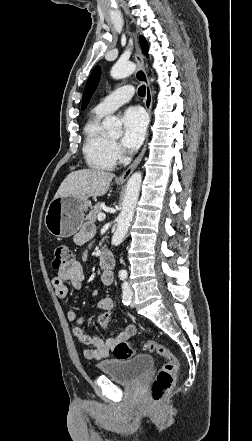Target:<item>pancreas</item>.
I'll return each instance as SVG.
<instances>
[{
	"instance_id": "pancreas-1",
	"label": "pancreas",
	"mask_w": 252,
	"mask_h": 441,
	"mask_svg": "<svg viewBox=\"0 0 252 441\" xmlns=\"http://www.w3.org/2000/svg\"><path fill=\"white\" fill-rule=\"evenodd\" d=\"M102 213V206L100 203H97L93 209L86 216V219L91 222H96L98 214Z\"/></svg>"
}]
</instances>
